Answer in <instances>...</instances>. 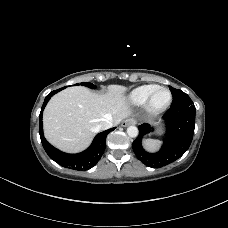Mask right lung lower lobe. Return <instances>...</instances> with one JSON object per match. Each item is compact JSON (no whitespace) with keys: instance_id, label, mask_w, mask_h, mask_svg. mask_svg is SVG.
<instances>
[{"instance_id":"98d812e1","label":"right lung lower lobe","mask_w":228,"mask_h":228,"mask_svg":"<svg viewBox=\"0 0 228 228\" xmlns=\"http://www.w3.org/2000/svg\"><path fill=\"white\" fill-rule=\"evenodd\" d=\"M64 88L55 90L50 92L43 103L40 116H39V134L41 138L42 145L48 154V156L53 159L55 162H57L59 165L74 169V170H88L92 168L102 157L105 146H106V137L108 133L114 130V128L108 129L106 131H103L96 135L94 138L92 144L88 149L85 151L78 153V154H67L64 152H61L60 150L54 148L45 138L43 135V124H42V112L49 101V99L62 90Z\"/></svg>"}]
</instances>
